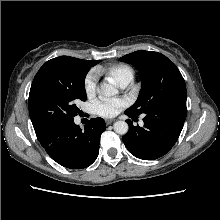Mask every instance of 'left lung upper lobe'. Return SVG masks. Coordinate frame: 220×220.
<instances>
[{"instance_id":"5c2ea615","label":"left lung upper lobe","mask_w":220,"mask_h":220,"mask_svg":"<svg viewBox=\"0 0 220 220\" xmlns=\"http://www.w3.org/2000/svg\"><path fill=\"white\" fill-rule=\"evenodd\" d=\"M139 70L142 88L138 99L126 111L147 114L158 106L186 102L185 81L176 65L161 53L139 50L121 57Z\"/></svg>"}]
</instances>
